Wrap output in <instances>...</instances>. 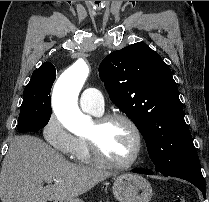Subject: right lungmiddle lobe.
Returning a JSON list of instances; mask_svg holds the SVG:
<instances>
[{
  "label": "right lung middle lobe",
  "instance_id": "right-lung-middle-lobe-1",
  "mask_svg": "<svg viewBox=\"0 0 209 202\" xmlns=\"http://www.w3.org/2000/svg\"><path fill=\"white\" fill-rule=\"evenodd\" d=\"M56 77H35L24 89L18 119V131L37 132L47 125L51 117L50 92Z\"/></svg>",
  "mask_w": 209,
  "mask_h": 202
}]
</instances>
